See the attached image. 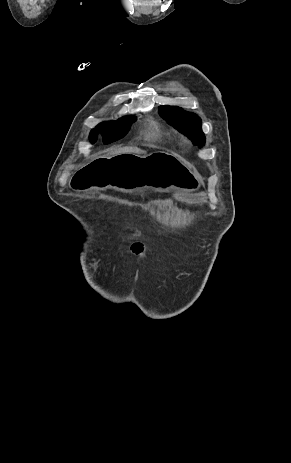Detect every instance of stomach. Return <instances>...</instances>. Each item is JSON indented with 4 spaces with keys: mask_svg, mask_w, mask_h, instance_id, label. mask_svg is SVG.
Instances as JSON below:
<instances>
[{
    "mask_svg": "<svg viewBox=\"0 0 291 463\" xmlns=\"http://www.w3.org/2000/svg\"><path fill=\"white\" fill-rule=\"evenodd\" d=\"M201 184L200 175L183 158L163 151L145 156L123 151L115 157H94L69 183L76 190L114 188L129 193L146 188L195 191Z\"/></svg>",
    "mask_w": 291,
    "mask_h": 463,
    "instance_id": "obj_1",
    "label": "stomach"
}]
</instances>
